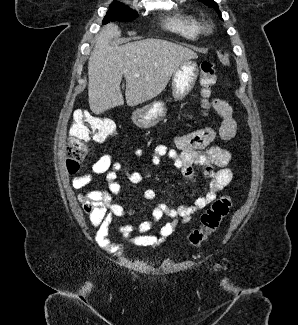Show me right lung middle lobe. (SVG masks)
I'll return each mask as SVG.
<instances>
[{"label": "right lung middle lobe", "instance_id": "dd1d6c3e", "mask_svg": "<svg viewBox=\"0 0 298 325\" xmlns=\"http://www.w3.org/2000/svg\"><path fill=\"white\" fill-rule=\"evenodd\" d=\"M138 17V14L128 8L126 5L120 2H113L110 5V9L108 10L103 23H108L110 21H132Z\"/></svg>", "mask_w": 298, "mask_h": 325}]
</instances>
